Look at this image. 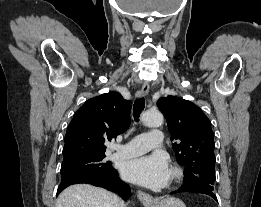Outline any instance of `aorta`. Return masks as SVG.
I'll return each mask as SVG.
<instances>
[{"label":"aorta","mask_w":261,"mask_h":207,"mask_svg":"<svg viewBox=\"0 0 261 207\" xmlns=\"http://www.w3.org/2000/svg\"><path fill=\"white\" fill-rule=\"evenodd\" d=\"M164 118L159 111H146L142 115V122L148 127H160L163 124Z\"/></svg>","instance_id":"762f6f07"}]
</instances>
